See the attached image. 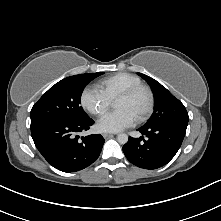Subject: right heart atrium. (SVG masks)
Wrapping results in <instances>:
<instances>
[{
	"instance_id": "d8ad5b80",
	"label": "right heart atrium",
	"mask_w": 221,
	"mask_h": 221,
	"mask_svg": "<svg viewBox=\"0 0 221 221\" xmlns=\"http://www.w3.org/2000/svg\"><path fill=\"white\" fill-rule=\"evenodd\" d=\"M81 106L92 115L104 114L111 105V100L98 88L85 87L80 96Z\"/></svg>"
}]
</instances>
